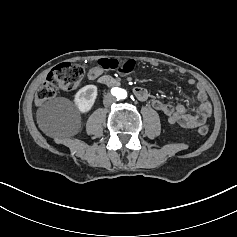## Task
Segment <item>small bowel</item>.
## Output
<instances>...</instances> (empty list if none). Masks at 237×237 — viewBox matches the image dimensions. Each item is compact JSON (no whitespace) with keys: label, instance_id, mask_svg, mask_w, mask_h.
<instances>
[{"label":"small bowel","instance_id":"small-bowel-1","mask_svg":"<svg viewBox=\"0 0 237 237\" xmlns=\"http://www.w3.org/2000/svg\"><path fill=\"white\" fill-rule=\"evenodd\" d=\"M103 71L104 69L98 65L91 68L87 76L89 79L94 80L99 78ZM188 83L191 86L196 85L197 88V99L200 105L194 111H187L183 105H172L169 102L159 99L152 100L151 105L167 118L168 123L176 124L183 128H196L211 116L212 105L208 100L206 90L202 84L196 83L194 79H190ZM133 93L140 102H146L149 99V93L143 87H135Z\"/></svg>","mask_w":237,"mask_h":237}]
</instances>
